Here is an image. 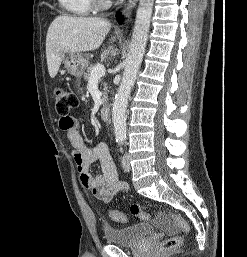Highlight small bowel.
Instances as JSON below:
<instances>
[{"mask_svg": "<svg viewBox=\"0 0 247 257\" xmlns=\"http://www.w3.org/2000/svg\"><path fill=\"white\" fill-rule=\"evenodd\" d=\"M59 126L65 131L72 145V157L82 185L89 189L98 200L107 203L119 192L127 189L126 183L118 180L117 169L107 144L100 142L94 147L87 146L79 133L78 122L75 118L71 117L69 126L63 125L62 120H59ZM94 162H99L101 169L96 176H92L89 172ZM157 223L167 232L175 230L173 224L167 219L160 218Z\"/></svg>", "mask_w": 247, "mask_h": 257, "instance_id": "c3829d8e", "label": "small bowel"}]
</instances>
